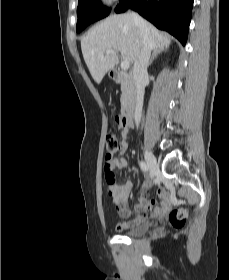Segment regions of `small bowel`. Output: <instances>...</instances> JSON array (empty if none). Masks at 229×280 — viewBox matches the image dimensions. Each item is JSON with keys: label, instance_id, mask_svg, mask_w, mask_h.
Here are the masks:
<instances>
[{"label": "small bowel", "instance_id": "obj_1", "mask_svg": "<svg viewBox=\"0 0 229 280\" xmlns=\"http://www.w3.org/2000/svg\"><path fill=\"white\" fill-rule=\"evenodd\" d=\"M130 138V132L128 129L122 130V141H121V150L119 157L114 162V167L117 171L124 170L127 167V161L124 157V154L128 148V139ZM108 194L111 197L114 205L118 212L127 218V220L117 226V230H125L130 227L137 225L140 220L146 218L144 214L152 212L155 216H164L169 208V195L168 191L158 185L156 188V194L160 199V206L154 208V203L149 199V190L148 186L145 183L141 188L138 203L134 206V211L138 214L135 217H130L129 211L126 209V203L129 199V196L133 190V183L130 180H127L123 184L115 185L107 182Z\"/></svg>", "mask_w": 229, "mask_h": 280}]
</instances>
